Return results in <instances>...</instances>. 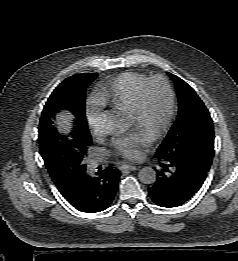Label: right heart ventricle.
Here are the masks:
<instances>
[{"instance_id": "obj_1", "label": "right heart ventricle", "mask_w": 238, "mask_h": 261, "mask_svg": "<svg viewBox=\"0 0 238 261\" xmlns=\"http://www.w3.org/2000/svg\"><path fill=\"white\" fill-rule=\"evenodd\" d=\"M147 78V75L140 72L122 73L98 94L96 103L130 111L139 87Z\"/></svg>"}]
</instances>
